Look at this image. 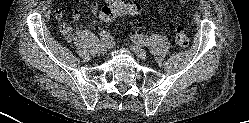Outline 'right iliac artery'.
I'll return each instance as SVG.
<instances>
[{"label":"right iliac artery","mask_w":249,"mask_h":123,"mask_svg":"<svg viewBox=\"0 0 249 123\" xmlns=\"http://www.w3.org/2000/svg\"><path fill=\"white\" fill-rule=\"evenodd\" d=\"M100 37H101V41L104 42V43H110V41H111L110 34L105 30H102L100 32Z\"/></svg>","instance_id":"right-iliac-artery-1"}]
</instances>
